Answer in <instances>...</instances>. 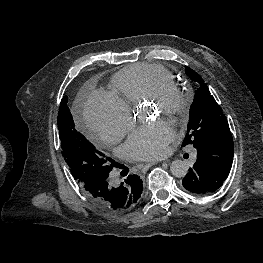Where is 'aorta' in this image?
Returning a JSON list of instances; mask_svg holds the SVG:
<instances>
[{
	"instance_id": "1",
	"label": "aorta",
	"mask_w": 263,
	"mask_h": 263,
	"mask_svg": "<svg viewBox=\"0 0 263 263\" xmlns=\"http://www.w3.org/2000/svg\"><path fill=\"white\" fill-rule=\"evenodd\" d=\"M189 166L185 160H174L170 165L172 175L177 178L185 177L188 172Z\"/></svg>"
}]
</instances>
